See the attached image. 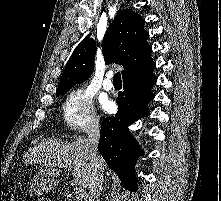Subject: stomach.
<instances>
[{"instance_id": "1", "label": "stomach", "mask_w": 221, "mask_h": 201, "mask_svg": "<svg viewBox=\"0 0 221 201\" xmlns=\"http://www.w3.org/2000/svg\"><path fill=\"white\" fill-rule=\"evenodd\" d=\"M53 186L54 183L50 179L36 175L31 180L30 191L33 194L42 195L48 192Z\"/></svg>"}]
</instances>
